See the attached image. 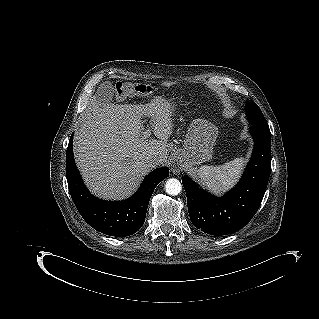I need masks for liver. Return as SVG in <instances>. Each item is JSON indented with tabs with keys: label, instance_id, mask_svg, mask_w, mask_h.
<instances>
[{
	"label": "liver",
	"instance_id": "obj_1",
	"mask_svg": "<svg viewBox=\"0 0 319 319\" xmlns=\"http://www.w3.org/2000/svg\"><path fill=\"white\" fill-rule=\"evenodd\" d=\"M172 110L162 97L144 109L138 104L115 105L100 92L93 96L74 136L75 162L92 193L109 200L127 198L154 167L148 163L151 156L167 162ZM143 113L151 118L157 139L143 137Z\"/></svg>",
	"mask_w": 319,
	"mask_h": 319
}]
</instances>
